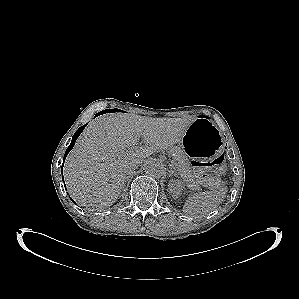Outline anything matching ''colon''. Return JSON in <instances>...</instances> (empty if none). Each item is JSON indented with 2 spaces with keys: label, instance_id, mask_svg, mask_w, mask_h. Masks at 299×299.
Here are the masks:
<instances>
[{
  "label": "colon",
  "instance_id": "colon-1",
  "mask_svg": "<svg viewBox=\"0 0 299 299\" xmlns=\"http://www.w3.org/2000/svg\"><path fill=\"white\" fill-rule=\"evenodd\" d=\"M192 166L200 181L207 184H214L217 177L225 169V157L223 155H219L214 157L211 161L204 163L192 161Z\"/></svg>",
  "mask_w": 299,
  "mask_h": 299
}]
</instances>
